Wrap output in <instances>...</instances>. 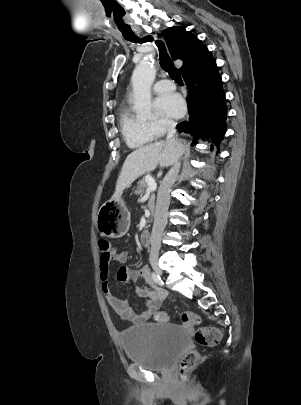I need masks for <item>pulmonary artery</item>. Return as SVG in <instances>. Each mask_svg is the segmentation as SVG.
<instances>
[{"label": "pulmonary artery", "instance_id": "pulmonary-artery-1", "mask_svg": "<svg viewBox=\"0 0 301 405\" xmlns=\"http://www.w3.org/2000/svg\"><path fill=\"white\" fill-rule=\"evenodd\" d=\"M175 89V85L172 83V81L163 79L160 81H157L153 85V91L156 93H166L173 91Z\"/></svg>", "mask_w": 301, "mask_h": 405}]
</instances>
